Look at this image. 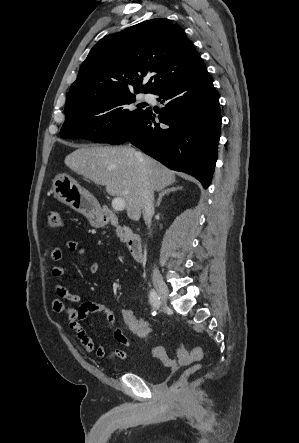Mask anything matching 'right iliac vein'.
Here are the masks:
<instances>
[{
    "label": "right iliac vein",
    "instance_id": "right-iliac-vein-1",
    "mask_svg": "<svg viewBox=\"0 0 299 443\" xmlns=\"http://www.w3.org/2000/svg\"><path fill=\"white\" fill-rule=\"evenodd\" d=\"M153 284H154V287L156 288L161 300L164 303H166V301L168 299L169 291H168V288H167L166 284L164 283V281L160 277L155 276L153 278Z\"/></svg>",
    "mask_w": 299,
    "mask_h": 443
}]
</instances>
